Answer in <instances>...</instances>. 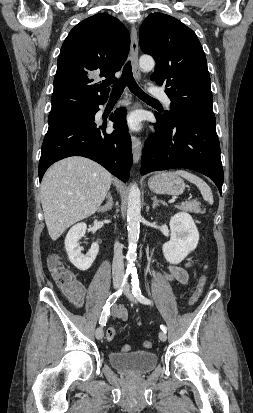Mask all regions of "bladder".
Returning a JSON list of instances; mask_svg holds the SVG:
<instances>
[{
    "label": "bladder",
    "instance_id": "obj_1",
    "mask_svg": "<svg viewBox=\"0 0 253 413\" xmlns=\"http://www.w3.org/2000/svg\"><path fill=\"white\" fill-rule=\"evenodd\" d=\"M109 364L120 371L133 375H142L152 371L158 356L152 351H132L127 353L111 352L108 355Z\"/></svg>",
    "mask_w": 253,
    "mask_h": 413
}]
</instances>
